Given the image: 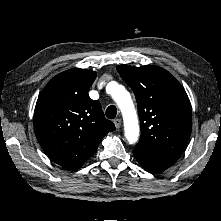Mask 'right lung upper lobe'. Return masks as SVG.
<instances>
[{"instance_id": "1", "label": "right lung upper lobe", "mask_w": 221, "mask_h": 221, "mask_svg": "<svg viewBox=\"0 0 221 221\" xmlns=\"http://www.w3.org/2000/svg\"><path fill=\"white\" fill-rule=\"evenodd\" d=\"M95 78L94 71L69 69L51 79L38 97L36 137L47 155L63 167H81L102 138L115 130L101 104L88 95Z\"/></svg>"}]
</instances>
